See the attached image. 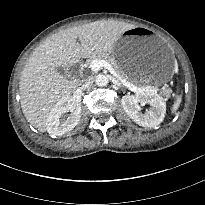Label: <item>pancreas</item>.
I'll return each mask as SVG.
<instances>
[{"label": "pancreas", "instance_id": "pancreas-1", "mask_svg": "<svg viewBox=\"0 0 205 205\" xmlns=\"http://www.w3.org/2000/svg\"><path fill=\"white\" fill-rule=\"evenodd\" d=\"M96 59L106 60V61L112 66V68L114 69V71L117 73V75H118L120 78H122V79H124V80H127L126 76L122 73V71L120 70V68H119V66H118V64H117V62H116V60H115L113 57H111V56H109V55H107V54H104V53L97 54V55L92 56V57L86 62V64L89 66V65H91V63H92L94 60H96Z\"/></svg>", "mask_w": 205, "mask_h": 205}]
</instances>
